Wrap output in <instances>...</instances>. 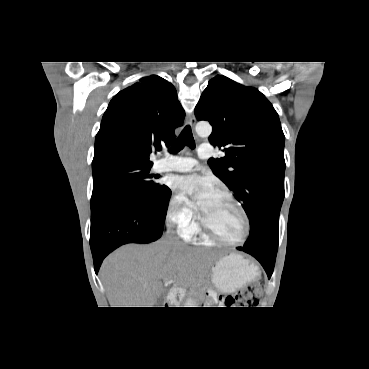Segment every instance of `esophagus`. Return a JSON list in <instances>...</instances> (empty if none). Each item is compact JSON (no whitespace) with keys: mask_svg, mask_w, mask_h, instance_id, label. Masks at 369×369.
Masks as SVG:
<instances>
[{"mask_svg":"<svg viewBox=\"0 0 369 369\" xmlns=\"http://www.w3.org/2000/svg\"><path fill=\"white\" fill-rule=\"evenodd\" d=\"M187 123L192 127V129L194 130L195 124H196V117L194 115V113L190 114L187 117Z\"/></svg>","mask_w":369,"mask_h":369,"instance_id":"34e87169","label":"esophagus"}]
</instances>
